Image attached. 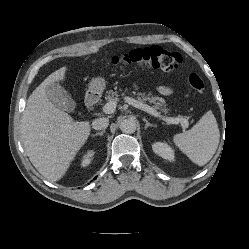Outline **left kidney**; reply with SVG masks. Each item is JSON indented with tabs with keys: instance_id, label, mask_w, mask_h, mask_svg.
<instances>
[{
	"instance_id": "obj_1",
	"label": "left kidney",
	"mask_w": 249,
	"mask_h": 249,
	"mask_svg": "<svg viewBox=\"0 0 249 249\" xmlns=\"http://www.w3.org/2000/svg\"><path fill=\"white\" fill-rule=\"evenodd\" d=\"M152 149L160 157L174 161V150L167 143L156 142L152 145Z\"/></svg>"
}]
</instances>
